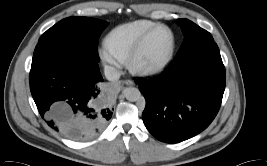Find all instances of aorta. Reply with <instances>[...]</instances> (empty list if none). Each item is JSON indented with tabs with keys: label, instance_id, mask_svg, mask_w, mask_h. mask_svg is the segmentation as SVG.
<instances>
[{
	"label": "aorta",
	"instance_id": "obj_1",
	"mask_svg": "<svg viewBox=\"0 0 267 166\" xmlns=\"http://www.w3.org/2000/svg\"><path fill=\"white\" fill-rule=\"evenodd\" d=\"M124 95L128 101L136 102L141 98V92L138 88L128 87L124 91Z\"/></svg>",
	"mask_w": 267,
	"mask_h": 166
}]
</instances>
